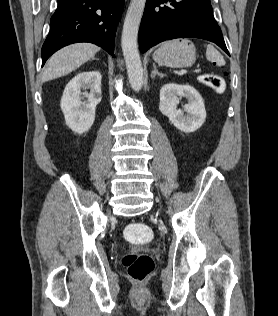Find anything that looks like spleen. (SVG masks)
<instances>
[{
    "mask_svg": "<svg viewBox=\"0 0 278 316\" xmlns=\"http://www.w3.org/2000/svg\"><path fill=\"white\" fill-rule=\"evenodd\" d=\"M206 58L212 63H216V65L219 67L225 65V60L223 56L212 45L207 46Z\"/></svg>",
    "mask_w": 278,
    "mask_h": 316,
    "instance_id": "obj_1",
    "label": "spleen"
}]
</instances>
